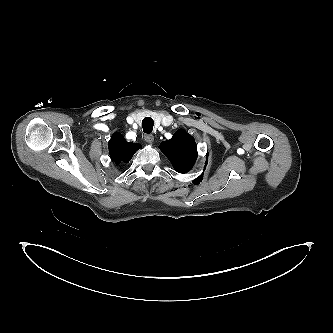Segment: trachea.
<instances>
[{"label": "trachea", "mask_w": 333, "mask_h": 333, "mask_svg": "<svg viewBox=\"0 0 333 333\" xmlns=\"http://www.w3.org/2000/svg\"><path fill=\"white\" fill-rule=\"evenodd\" d=\"M154 121L150 117H146L142 121L143 131L147 134H150L153 130Z\"/></svg>", "instance_id": "1"}]
</instances>
